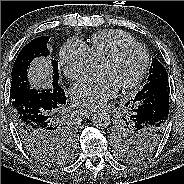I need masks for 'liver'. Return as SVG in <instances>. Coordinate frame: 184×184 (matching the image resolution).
<instances>
[{
    "mask_svg": "<svg viewBox=\"0 0 184 184\" xmlns=\"http://www.w3.org/2000/svg\"><path fill=\"white\" fill-rule=\"evenodd\" d=\"M50 74L51 65L49 60L37 58L32 62L29 77L35 85L46 84Z\"/></svg>",
    "mask_w": 184,
    "mask_h": 184,
    "instance_id": "liver-1",
    "label": "liver"
}]
</instances>
